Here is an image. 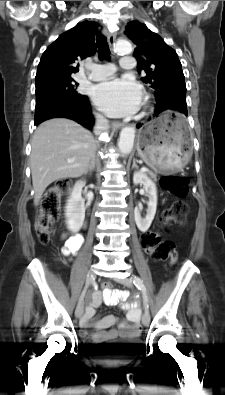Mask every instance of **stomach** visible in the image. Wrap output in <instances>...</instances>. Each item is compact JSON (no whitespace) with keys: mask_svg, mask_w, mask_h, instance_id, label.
<instances>
[{"mask_svg":"<svg viewBox=\"0 0 225 395\" xmlns=\"http://www.w3.org/2000/svg\"><path fill=\"white\" fill-rule=\"evenodd\" d=\"M188 128L178 112L167 110L139 131L137 151L157 172L181 170L191 157Z\"/></svg>","mask_w":225,"mask_h":395,"instance_id":"stomach-1","label":"stomach"}]
</instances>
